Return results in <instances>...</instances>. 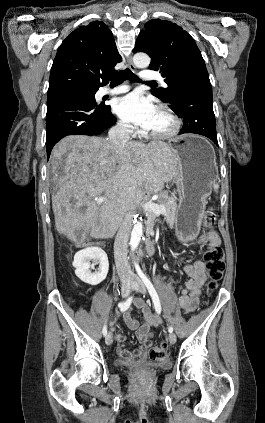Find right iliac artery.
I'll use <instances>...</instances> for the list:
<instances>
[{"label":"right iliac artery","mask_w":265,"mask_h":423,"mask_svg":"<svg viewBox=\"0 0 265 423\" xmlns=\"http://www.w3.org/2000/svg\"><path fill=\"white\" fill-rule=\"evenodd\" d=\"M131 303H132V297L128 298L124 302H120L118 304V307L120 308L121 311H125V310H127L129 308V306L131 305ZM102 333H103L104 336L107 335V327H106V324L103 327Z\"/></svg>","instance_id":"1"}]
</instances>
